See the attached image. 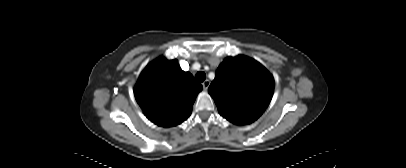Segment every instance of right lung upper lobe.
Instances as JSON below:
<instances>
[{
    "label": "right lung upper lobe",
    "mask_w": 406,
    "mask_h": 168,
    "mask_svg": "<svg viewBox=\"0 0 406 168\" xmlns=\"http://www.w3.org/2000/svg\"><path fill=\"white\" fill-rule=\"evenodd\" d=\"M202 85L177 60L158 58L142 71L134 89L135 98L146 117L162 127L176 126L192 112Z\"/></svg>",
    "instance_id": "cb5924a9"
}]
</instances>
